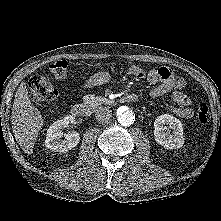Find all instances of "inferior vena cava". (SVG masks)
<instances>
[{"instance_id": "obj_1", "label": "inferior vena cava", "mask_w": 221, "mask_h": 221, "mask_svg": "<svg viewBox=\"0 0 221 221\" xmlns=\"http://www.w3.org/2000/svg\"><path fill=\"white\" fill-rule=\"evenodd\" d=\"M95 116L100 123H107L112 117V111L109 107L99 106L95 110Z\"/></svg>"}]
</instances>
